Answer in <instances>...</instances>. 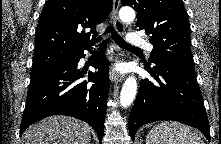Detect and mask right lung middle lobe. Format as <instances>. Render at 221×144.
Segmentation results:
<instances>
[{
  "instance_id": "1",
  "label": "right lung middle lobe",
  "mask_w": 221,
  "mask_h": 144,
  "mask_svg": "<svg viewBox=\"0 0 221 144\" xmlns=\"http://www.w3.org/2000/svg\"><path fill=\"white\" fill-rule=\"evenodd\" d=\"M74 54H64L59 52H43L34 54L31 76L46 71L47 69L66 62Z\"/></svg>"
}]
</instances>
